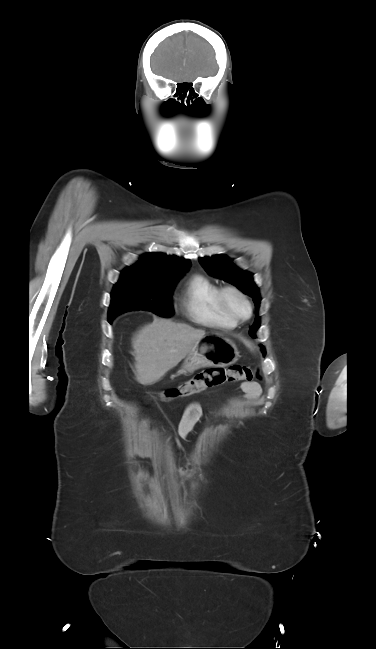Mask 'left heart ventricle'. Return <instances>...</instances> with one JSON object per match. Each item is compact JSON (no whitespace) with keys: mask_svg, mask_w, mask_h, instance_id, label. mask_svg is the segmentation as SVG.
<instances>
[{"mask_svg":"<svg viewBox=\"0 0 376 649\" xmlns=\"http://www.w3.org/2000/svg\"><path fill=\"white\" fill-rule=\"evenodd\" d=\"M229 304L231 308L239 314L244 313L246 310L244 303L237 297L234 296L229 297Z\"/></svg>","mask_w":376,"mask_h":649,"instance_id":"b2bd125f","label":"left heart ventricle"}]
</instances>
